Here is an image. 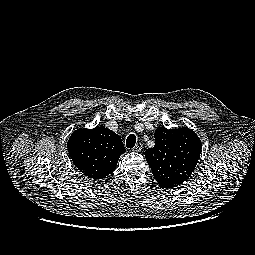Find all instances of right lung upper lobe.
Returning <instances> with one entry per match:
<instances>
[{
  "label": "right lung upper lobe",
  "instance_id": "cb5924a9",
  "mask_svg": "<svg viewBox=\"0 0 255 255\" xmlns=\"http://www.w3.org/2000/svg\"><path fill=\"white\" fill-rule=\"evenodd\" d=\"M67 148L79 171L95 180L111 174L120 155L126 152L120 136L105 127L75 130Z\"/></svg>",
  "mask_w": 255,
  "mask_h": 255
}]
</instances>
